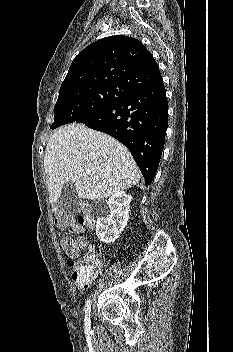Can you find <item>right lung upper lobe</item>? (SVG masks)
<instances>
[{
    "mask_svg": "<svg viewBox=\"0 0 233 352\" xmlns=\"http://www.w3.org/2000/svg\"><path fill=\"white\" fill-rule=\"evenodd\" d=\"M161 78L152 54L139 40L115 35L92 43L74 58L59 95L102 85L135 91Z\"/></svg>",
    "mask_w": 233,
    "mask_h": 352,
    "instance_id": "1",
    "label": "right lung upper lobe"
}]
</instances>
